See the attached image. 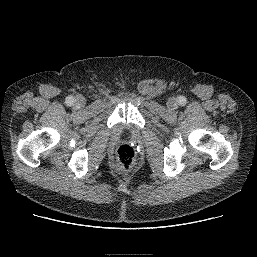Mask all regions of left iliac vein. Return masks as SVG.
<instances>
[{
  "label": "left iliac vein",
  "mask_w": 257,
  "mask_h": 257,
  "mask_svg": "<svg viewBox=\"0 0 257 257\" xmlns=\"http://www.w3.org/2000/svg\"><path fill=\"white\" fill-rule=\"evenodd\" d=\"M167 107L170 110L176 109L178 107V103H177L176 98H174V97L169 98L168 101H167Z\"/></svg>",
  "instance_id": "left-iliac-vein-1"
}]
</instances>
